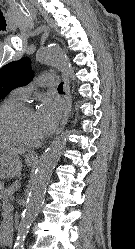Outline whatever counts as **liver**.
<instances>
[{"label":"liver","instance_id":"obj_1","mask_svg":"<svg viewBox=\"0 0 135 249\" xmlns=\"http://www.w3.org/2000/svg\"><path fill=\"white\" fill-rule=\"evenodd\" d=\"M4 149H6L7 151H9V152H11V153H13L15 155L23 154L24 153V150L12 148V147H5Z\"/></svg>","mask_w":135,"mask_h":249}]
</instances>
